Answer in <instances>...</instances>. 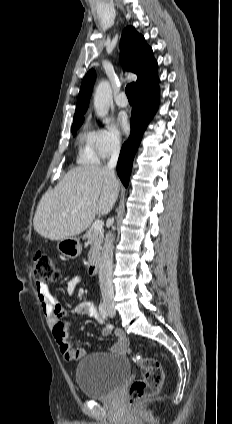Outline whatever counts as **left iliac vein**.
Instances as JSON below:
<instances>
[{"instance_id": "4c4485c4", "label": "left iliac vein", "mask_w": 232, "mask_h": 424, "mask_svg": "<svg viewBox=\"0 0 232 424\" xmlns=\"http://www.w3.org/2000/svg\"><path fill=\"white\" fill-rule=\"evenodd\" d=\"M108 315L110 317H114L115 316V310L113 308L112 309H108Z\"/></svg>"}]
</instances>
